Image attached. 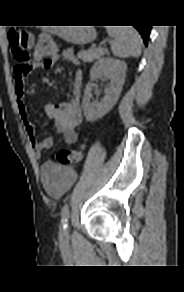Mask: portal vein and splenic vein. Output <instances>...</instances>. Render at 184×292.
Wrapping results in <instances>:
<instances>
[{"label": "portal vein and splenic vein", "mask_w": 184, "mask_h": 292, "mask_svg": "<svg viewBox=\"0 0 184 292\" xmlns=\"http://www.w3.org/2000/svg\"><path fill=\"white\" fill-rule=\"evenodd\" d=\"M100 50L102 51L103 50V48L102 47H100ZM105 50V49H104Z\"/></svg>", "instance_id": "18ae733b"}]
</instances>
